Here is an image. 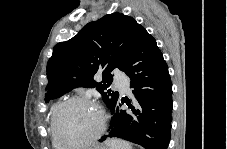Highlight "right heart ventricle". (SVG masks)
I'll use <instances>...</instances> for the list:
<instances>
[{
    "instance_id": "right-heart-ventricle-1",
    "label": "right heart ventricle",
    "mask_w": 227,
    "mask_h": 149,
    "mask_svg": "<svg viewBox=\"0 0 227 149\" xmlns=\"http://www.w3.org/2000/svg\"><path fill=\"white\" fill-rule=\"evenodd\" d=\"M59 104H54L52 107H51V110H50V113H49V129H50V136H51V141H52V145L54 148L56 149H60V145L57 143L55 137H54V133H53V126H52V120H53V115H54V112L57 108Z\"/></svg>"
}]
</instances>
